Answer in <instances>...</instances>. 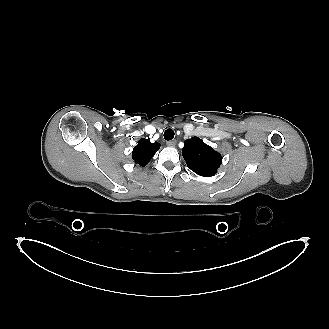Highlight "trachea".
Masks as SVG:
<instances>
[{
    "label": "trachea",
    "mask_w": 329,
    "mask_h": 329,
    "mask_svg": "<svg viewBox=\"0 0 329 329\" xmlns=\"http://www.w3.org/2000/svg\"><path fill=\"white\" fill-rule=\"evenodd\" d=\"M174 131L172 129H167L165 132H164V138L165 140H172L174 138Z\"/></svg>",
    "instance_id": "1"
}]
</instances>
